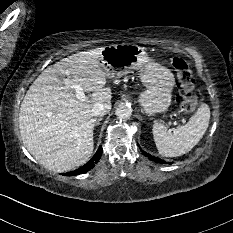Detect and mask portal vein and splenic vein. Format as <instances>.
I'll return each mask as SVG.
<instances>
[{"label":"portal vein and splenic vein","instance_id":"18ae733b","mask_svg":"<svg viewBox=\"0 0 233 233\" xmlns=\"http://www.w3.org/2000/svg\"><path fill=\"white\" fill-rule=\"evenodd\" d=\"M69 83H70L69 81H67V80L65 81V84H69ZM71 88L75 90L76 97L80 101H84L86 99V96L84 94V91H83L81 85L72 83Z\"/></svg>","mask_w":233,"mask_h":233}]
</instances>
